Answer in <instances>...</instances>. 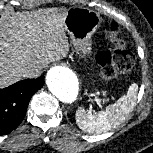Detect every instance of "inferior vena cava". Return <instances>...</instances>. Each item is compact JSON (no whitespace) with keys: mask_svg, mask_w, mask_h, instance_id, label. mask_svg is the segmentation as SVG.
Instances as JSON below:
<instances>
[{"mask_svg":"<svg viewBox=\"0 0 153 153\" xmlns=\"http://www.w3.org/2000/svg\"><path fill=\"white\" fill-rule=\"evenodd\" d=\"M44 68V64H29L23 70V76L27 78H38L42 74V70Z\"/></svg>","mask_w":153,"mask_h":153,"instance_id":"inferior-vena-cava-1","label":"inferior vena cava"}]
</instances>
